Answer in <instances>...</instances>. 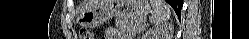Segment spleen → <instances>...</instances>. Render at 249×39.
<instances>
[{
  "label": "spleen",
  "mask_w": 249,
  "mask_h": 39,
  "mask_svg": "<svg viewBox=\"0 0 249 39\" xmlns=\"http://www.w3.org/2000/svg\"><path fill=\"white\" fill-rule=\"evenodd\" d=\"M153 7V13L150 21L155 25H161L171 15L170 6L163 0H150Z\"/></svg>",
  "instance_id": "spleen-1"
}]
</instances>
